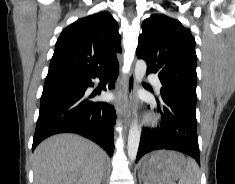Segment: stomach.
I'll return each mask as SVG.
<instances>
[{"label":"stomach","instance_id":"1","mask_svg":"<svg viewBox=\"0 0 235 184\" xmlns=\"http://www.w3.org/2000/svg\"><path fill=\"white\" fill-rule=\"evenodd\" d=\"M187 166L186 158L173 150H157L145 156L139 168V178L146 184H174Z\"/></svg>","mask_w":235,"mask_h":184}]
</instances>
